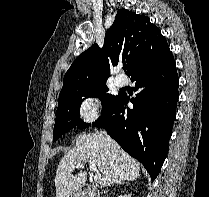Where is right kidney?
<instances>
[{
	"label": "right kidney",
	"mask_w": 209,
	"mask_h": 197,
	"mask_svg": "<svg viewBox=\"0 0 209 197\" xmlns=\"http://www.w3.org/2000/svg\"><path fill=\"white\" fill-rule=\"evenodd\" d=\"M118 197H130V195H120Z\"/></svg>",
	"instance_id": "obj_1"
}]
</instances>
